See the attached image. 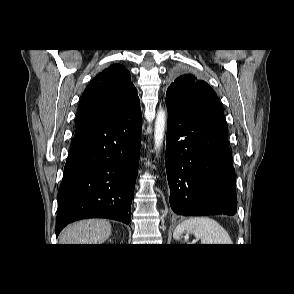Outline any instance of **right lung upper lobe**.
<instances>
[{
    "label": "right lung upper lobe",
    "mask_w": 294,
    "mask_h": 294,
    "mask_svg": "<svg viewBox=\"0 0 294 294\" xmlns=\"http://www.w3.org/2000/svg\"><path fill=\"white\" fill-rule=\"evenodd\" d=\"M139 102L130 73L114 64L99 73L85 89L75 126L112 119Z\"/></svg>",
    "instance_id": "1"
}]
</instances>
